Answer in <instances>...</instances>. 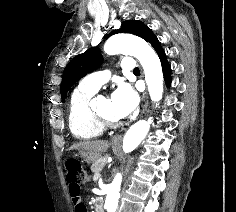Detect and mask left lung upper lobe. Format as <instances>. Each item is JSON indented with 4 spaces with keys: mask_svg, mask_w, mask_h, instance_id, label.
<instances>
[{
    "mask_svg": "<svg viewBox=\"0 0 236 212\" xmlns=\"http://www.w3.org/2000/svg\"><path fill=\"white\" fill-rule=\"evenodd\" d=\"M151 31L150 28L145 26L144 23L138 20H128L121 24L118 30L112 31L109 35L115 33H130L137 35L144 40ZM101 51L98 47H92L86 50L84 53L74 57L69 64L66 66L61 83V98L64 101L69 89L82 77L86 76L87 73L95 70L102 64Z\"/></svg>",
    "mask_w": 236,
    "mask_h": 212,
    "instance_id": "left-lung-upper-lobe-1",
    "label": "left lung upper lobe"
}]
</instances>
